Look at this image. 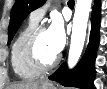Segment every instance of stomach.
I'll list each match as a JSON object with an SVG mask.
<instances>
[{"mask_svg":"<svg viewBox=\"0 0 107 89\" xmlns=\"http://www.w3.org/2000/svg\"><path fill=\"white\" fill-rule=\"evenodd\" d=\"M40 89H58L55 85L49 83L45 85L44 87H41Z\"/></svg>","mask_w":107,"mask_h":89,"instance_id":"1","label":"stomach"}]
</instances>
